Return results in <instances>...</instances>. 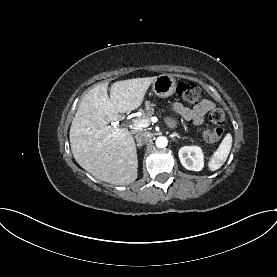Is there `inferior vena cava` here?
<instances>
[{"instance_id":"1","label":"inferior vena cava","mask_w":277,"mask_h":277,"mask_svg":"<svg viewBox=\"0 0 277 277\" xmlns=\"http://www.w3.org/2000/svg\"><path fill=\"white\" fill-rule=\"evenodd\" d=\"M135 139L138 144L147 143L151 139V134L146 131H140L135 135Z\"/></svg>"}]
</instances>
